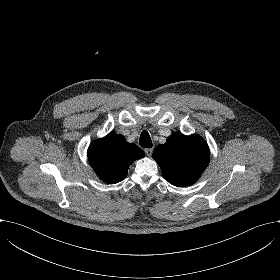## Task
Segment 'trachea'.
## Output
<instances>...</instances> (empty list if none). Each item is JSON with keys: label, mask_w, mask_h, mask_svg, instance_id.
Here are the masks:
<instances>
[{"label": "trachea", "mask_w": 280, "mask_h": 280, "mask_svg": "<svg viewBox=\"0 0 280 280\" xmlns=\"http://www.w3.org/2000/svg\"><path fill=\"white\" fill-rule=\"evenodd\" d=\"M139 143L144 148H151L152 147V141L150 139V135L146 130L142 131V133L140 135Z\"/></svg>", "instance_id": "trachea-1"}]
</instances>
